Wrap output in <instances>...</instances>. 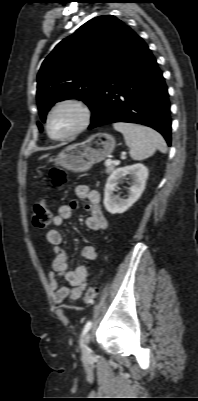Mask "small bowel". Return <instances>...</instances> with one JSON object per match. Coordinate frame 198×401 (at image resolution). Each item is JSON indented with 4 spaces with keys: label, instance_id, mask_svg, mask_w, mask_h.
<instances>
[{
    "label": "small bowel",
    "instance_id": "1",
    "mask_svg": "<svg viewBox=\"0 0 198 401\" xmlns=\"http://www.w3.org/2000/svg\"><path fill=\"white\" fill-rule=\"evenodd\" d=\"M76 195L79 199L86 200V208L89 216L85 220L88 230L94 233H102L107 229L108 223L100 207V194L96 190H90L85 185L76 187ZM77 208V202L71 201L59 207L57 214L53 217L52 223L55 228L48 230L47 241L53 246L52 252L55 256L52 270L48 272V284L53 292V300L56 304L73 302L79 299L85 289L88 280V271L84 265L71 269L66 251L62 247L63 235L58 227H61L65 220L69 219ZM98 250L92 245L83 247L82 256L93 261L98 258ZM64 278L68 286H60V280Z\"/></svg>",
    "mask_w": 198,
    "mask_h": 401
}]
</instances>
